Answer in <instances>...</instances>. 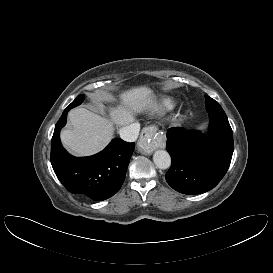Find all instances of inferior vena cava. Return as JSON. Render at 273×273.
<instances>
[{
	"mask_svg": "<svg viewBox=\"0 0 273 273\" xmlns=\"http://www.w3.org/2000/svg\"><path fill=\"white\" fill-rule=\"evenodd\" d=\"M139 131H140V124L138 122H135L120 128L119 134L121 139L127 142H134L138 138Z\"/></svg>",
	"mask_w": 273,
	"mask_h": 273,
	"instance_id": "inferior-vena-cava-1",
	"label": "inferior vena cava"
}]
</instances>
